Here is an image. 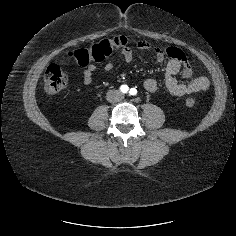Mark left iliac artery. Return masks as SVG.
<instances>
[{
	"label": "left iliac artery",
	"instance_id": "left-iliac-artery-1",
	"mask_svg": "<svg viewBox=\"0 0 236 236\" xmlns=\"http://www.w3.org/2000/svg\"><path fill=\"white\" fill-rule=\"evenodd\" d=\"M130 95H136L137 94V90L135 88H131L129 91Z\"/></svg>",
	"mask_w": 236,
	"mask_h": 236
}]
</instances>
